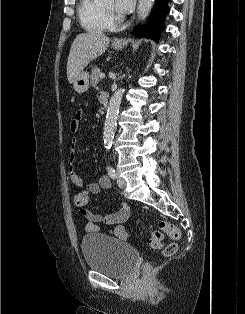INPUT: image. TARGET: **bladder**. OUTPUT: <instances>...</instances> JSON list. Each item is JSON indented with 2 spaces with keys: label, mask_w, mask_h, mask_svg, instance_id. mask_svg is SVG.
Wrapping results in <instances>:
<instances>
[{
  "label": "bladder",
  "mask_w": 245,
  "mask_h": 314,
  "mask_svg": "<svg viewBox=\"0 0 245 314\" xmlns=\"http://www.w3.org/2000/svg\"><path fill=\"white\" fill-rule=\"evenodd\" d=\"M81 247L89 268L112 276L125 275L139 256L130 245L99 234L85 235Z\"/></svg>",
  "instance_id": "obj_1"
}]
</instances>
